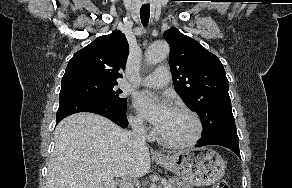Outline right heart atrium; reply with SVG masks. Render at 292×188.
<instances>
[{
	"label": "right heart atrium",
	"mask_w": 292,
	"mask_h": 188,
	"mask_svg": "<svg viewBox=\"0 0 292 188\" xmlns=\"http://www.w3.org/2000/svg\"><path fill=\"white\" fill-rule=\"evenodd\" d=\"M129 123L136 132L143 133L146 131L145 121L141 115H130Z\"/></svg>",
	"instance_id": "1"
}]
</instances>
